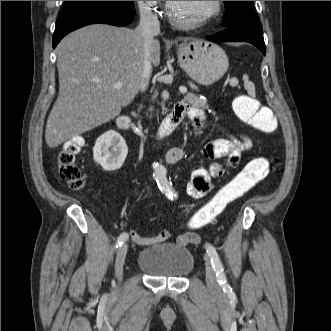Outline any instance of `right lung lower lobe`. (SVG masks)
I'll list each match as a JSON object with an SVG mask.
<instances>
[{"mask_svg": "<svg viewBox=\"0 0 331 331\" xmlns=\"http://www.w3.org/2000/svg\"><path fill=\"white\" fill-rule=\"evenodd\" d=\"M135 16L133 1L117 4L95 6L59 18L53 34V48L69 32L86 25L105 23L115 26H125L131 23Z\"/></svg>", "mask_w": 331, "mask_h": 331, "instance_id": "right-lung-lower-lobe-1", "label": "right lung lower lobe"}]
</instances>
